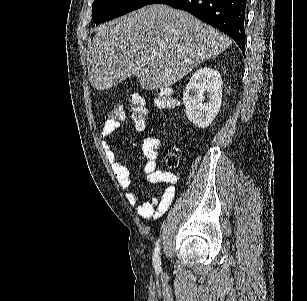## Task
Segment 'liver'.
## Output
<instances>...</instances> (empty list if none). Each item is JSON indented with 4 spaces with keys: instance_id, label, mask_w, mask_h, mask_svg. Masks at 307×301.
Wrapping results in <instances>:
<instances>
[{
    "instance_id": "1",
    "label": "liver",
    "mask_w": 307,
    "mask_h": 301,
    "mask_svg": "<svg viewBox=\"0 0 307 301\" xmlns=\"http://www.w3.org/2000/svg\"><path fill=\"white\" fill-rule=\"evenodd\" d=\"M232 38L185 10L148 4L98 26L88 52V78L98 90L137 76L141 88L171 86L217 56Z\"/></svg>"
}]
</instances>
